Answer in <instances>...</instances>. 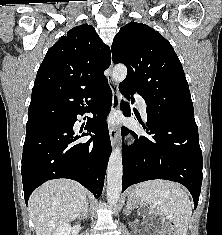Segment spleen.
Listing matches in <instances>:
<instances>
[{"label":"spleen","instance_id":"spleen-1","mask_svg":"<svg viewBox=\"0 0 222 235\" xmlns=\"http://www.w3.org/2000/svg\"><path fill=\"white\" fill-rule=\"evenodd\" d=\"M143 201L156 205L157 210L174 223L177 235H187L192 204L186 191L177 183L151 180L136 186Z\"/></svg>","mask_w":222,"mask_h":235}]
</instances>
